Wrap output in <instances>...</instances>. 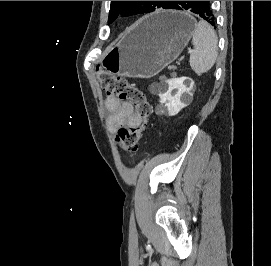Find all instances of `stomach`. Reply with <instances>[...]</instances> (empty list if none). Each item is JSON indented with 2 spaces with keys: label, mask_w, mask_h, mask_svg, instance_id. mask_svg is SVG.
<instances>
[{
  "label": "stomach",
  "mask_w": 271,
  "mask_h": 266,
  "mask_svg": "<svg viewBox=\"0 0 271 266\" xmlns=\"http://www.w3.org/2000/svg\"><path fill=\"white\" fill-rule=\"evenodd\" d=\"M195 24L189 13L176 10L146 16L108 48L102 65L121 76L151 78L180 55Z\"/></svg>",
  "instance_id": "obj_1"
}]
</instances>
